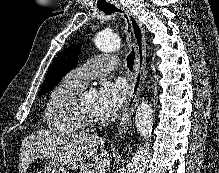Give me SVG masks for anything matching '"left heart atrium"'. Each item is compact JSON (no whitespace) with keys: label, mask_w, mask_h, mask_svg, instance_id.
Masks as SVG:
<instances>
[{"label":"left heart atrium","mask_w":219,"mask_h":173,"mask_svg":"<svg viewBox=\"0 0 219 173\" xmlns=\"http://www.w3.org/2000/svg\"><path fill=\"white\" fill-rule=\"evenodd\" d=\"M128 97V85L123 80L106 81L96 96V112L99 119L116 115L125 105Z\"/></svg>","instance_id":"obj_1"}]
</instances>
